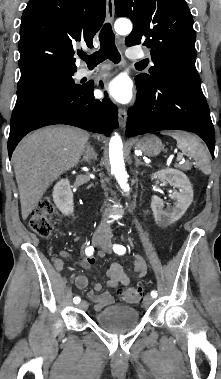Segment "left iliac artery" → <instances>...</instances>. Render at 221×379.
I'll use <instances>...</instances> for the list:
<instances>
[{"mask_svg": "<svg viewBox=\"0 0 221 379\" xmlns=\"http://www.w3.org/2000/svg\"><path fill=\"white\" fill-rule=\"evenodd\" d=\"M113 250L115 253L119 254V255H123L125 254L126 252V248L123 246V245H119V244H114L113 245ZM150 295L153 297V298H156L157 297V292L156 291H152L150 293Z\"/></svg>", "mask_w": 221, "mask_h": 379, "instance_id": "obj_1", "label": "left iliac artery"}]
</instances>
